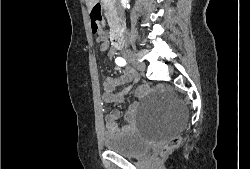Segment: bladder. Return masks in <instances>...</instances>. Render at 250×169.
Instances as JSON below:
<instances>
[{"instance_id": "31cf9c89", "label": "bladder", "mask_w": 250, "mask_h": 169, "mask_svg": "<svg viewBox=\"0 0 250 169\" xmlns=\"http://www.w3.org/2000/svg\"><path fill=\"white\" fill-rule=\"evenodd\" d=\"M144 136L145 134L137 133V131L109 133V135L102 136V142L106 151H115L124 157H134L153 147V145H148L149 139H145Z\"/></svg>"}]
</instances>
